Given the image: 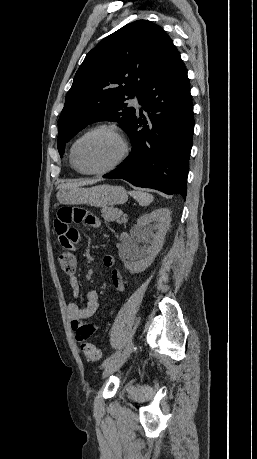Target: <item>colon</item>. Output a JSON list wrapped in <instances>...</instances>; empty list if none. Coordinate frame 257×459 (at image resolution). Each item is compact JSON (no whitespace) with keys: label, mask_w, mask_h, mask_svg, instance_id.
I'll return each mask as SVG.
<instances>
[{"label":"colon","mask_w":257,"mask_h":459,"mask_svg":"<svg viewBox=\"0 0 257 459\" xmlns=\"http://www.w3.org/2000/svg\"><path fill=\"white\" fill-rule=\"evenodd\" d=\"M58 264L63 271L73 273L76 269V257L74 251H63L60 253L58 256ZM81 350L84 356L90 361H99L101 358L98 348L92 343L82 342Z\"/></svg>","instance_id":"colon-1"}]
</instances>
